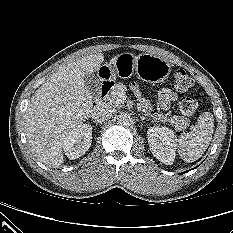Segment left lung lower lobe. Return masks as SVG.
I'll return each mask as SVG.
<instances>
[{
  "label": "left lung lower lobe",
  "instance_id": "1",
  "mask_svg": "<svg viewBox=\"0 0 233 233\" xmlns=\"http://www.w3.org/2000/svg\"><path fill=\"white\" fill-rule=\"evenodd\" d=\"M186 172H188V171H185V172H183L182 174H184V173H186Z\"/></svg>",
  "mask_w": 233,
  "mask_h": 233
}]
</instances>
